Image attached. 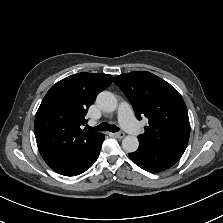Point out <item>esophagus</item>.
I'll return each mask as SVG.
<instances>
[{
	"label": "esophagus",
	"instance_id": "esophagus-1",
	"mask_svg": "<svg viewBox=\"0 0 223 223\" xmlns=\"http://www.w3.org/2000/svg\"><path fill=\"white\" fill-rule=\"evenodd\" d=\"M113 135H114V137H116V138L122 139V138L124 137L125 134H124L123 132H116V133H114Z\"/></svg>",
	"mask_w": 223,
	"mask_h": 223
}]
</instances>
